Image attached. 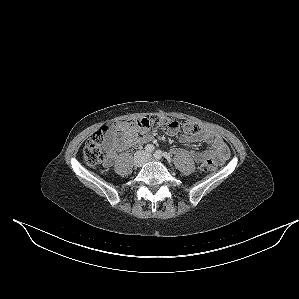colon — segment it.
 I'll list each match as a JSON object with an SVG mask.
<instances>
[{
    "instance_id": "colon-1",
    "label": "colon",
    "mask_w": 299,
    "mask_h": 299,
    "mask_svg": "<svg viewBox=\"0 0 299 299\" xmlns=\"http://www.w3.org/2000/svg\"><path fill=\"white\" fill-rule=\"evenodd\" d=\"M128 125L139 130L154 127L164 129L167 132H177L180 127L176 120L162 115L128 121ZM117 127L118 124L115 122L107 123L91 135L83 149V159L88 166H97L104 161L103 144L107 136L115 132ZM183 130L189 135H196L200 132L201 127L197 122L189 120L183 124ZM215 167L216 165L210 161L201 164V169L205 172L213 171Z\"/></svg>"
}]
</instances>
